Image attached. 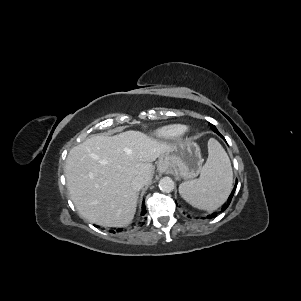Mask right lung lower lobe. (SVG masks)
Here are the masks:
<instances>
[{
  "label": "right lung lower lobe",
  "instance_id": "obj_1",
  "mask_svg": "<svg viewBox=\"0 0 301 301\" xmlns=\"http://www.w3.org/2000/svg\"><path fill=\"white\" fill-rule=\"evenodd\" d=\"M144 210H145V205L143 204V205H142V215H144V214H145ZM111 232H113V233H114V231H113V230H111Z\"/></svg>",
  "mask_w": 301,
  "mask_h": 301
}]
</instances>
